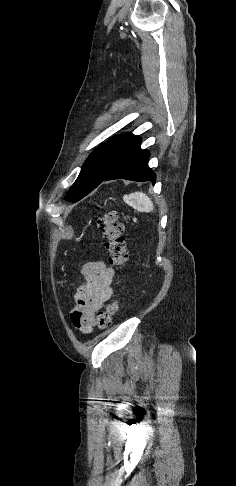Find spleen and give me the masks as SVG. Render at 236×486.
I'll list each match as a JSON object with an SVG mask.
<instances>
[{
  "mask_svg": "<svg viewBox=\"0 0 236 486\" xmlns=\"http://www.w3.org/2000/svg\"><path fill=\"white\" fill-rule=\"evenodd\" d=\"M123 200L126 204L139 212H152L154 204L151 199L142 192H135L129 195H124Z\"/></svg>",
  "mask_w": 236,
  "mask_h": 486,
  "instance_id": "1",
  "label": "spleen"
}]
</instances>
